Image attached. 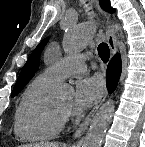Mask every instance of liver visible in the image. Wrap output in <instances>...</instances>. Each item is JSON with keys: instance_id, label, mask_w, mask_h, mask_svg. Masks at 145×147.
Masks as SVG:
<instances>
[{"instance_id": "1", "label": "liver", "mask_w": 145, "mask_h": 147, "mask_svg": "<svg viewBox=\"0 0 145 147\" xmlns=\"http://www.w3.org/2000/svg\"><path fill=\"white\" fill-rule=\"evenodd\" d=\"M20 147H59V144L57 142H41L35 144H25Z\"/></svg>"}]
</instances>
